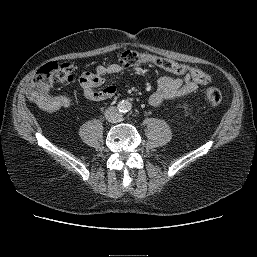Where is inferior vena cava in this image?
<instances>
[{"instance_id": "602c4592", "label": "inferior vena cava", "mask_w": 257, "mask_h": 257, "mask_svg": "<svg viewBox=\"0 0 257 257\" xmlns=\"http://www.w3.org/2000/svg\"><path fill=\"white\" fill-rule=\"evenodd\" d=\"M105 118L111 123H117L122 120V114L115 106H111L105 111Z\"/></svg>"}]
</instances>
